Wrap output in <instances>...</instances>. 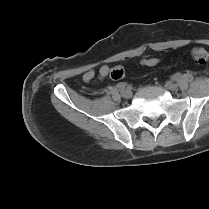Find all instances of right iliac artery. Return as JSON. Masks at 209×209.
<instances>
[{"label":"right iliac artery","mask_w":209,"mask_h":209,"mask_svg":"<svg viewBox=\"0 0 209 209\" xmlns=\"http://www.w3.org/2000/svg\"><path fill=\"white\" fill-rule=\"evenodd\" d=\"M125 87H126V83H119V84L117 85V88H118L119 90L124 89Z\"/></svg>","instance_id":"1"}]
</instances>
